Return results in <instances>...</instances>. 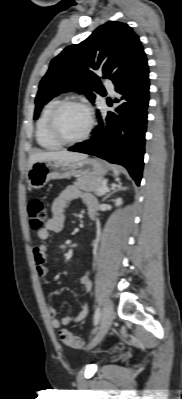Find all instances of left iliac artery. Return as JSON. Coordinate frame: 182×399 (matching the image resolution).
I'll use <instances>...</instances> for the list:
<instances>
[{"label": "left iliac artery", "mask_w": 182, "mask_h": 399, "mask_svg": "<svg viewBox=\"0 0 182 399\" xmlns=\"http://www.w3.org/2000/svg\"><path fill=\"white\" fill-rule=\"evenodd\" d=\"M100 319V308L97 307L94 313V325H97Z\"/></svg>", "instance_id": "1"}]
</instances>
